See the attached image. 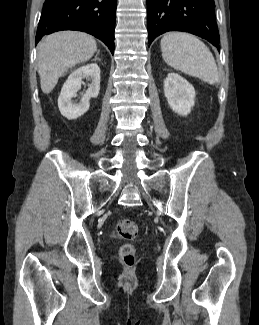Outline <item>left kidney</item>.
I'll return each mask as SVG.
<instances>
[{"label":"left kidney","instance_id":"1","mask_svg":"<svg viewBox=\"0 0 259 325\" xmlns=\"http://www.w3.org/2000/svg\"><path fill=\"white\" fill-rule=\"evenodd\" d=\"M164 95L171 109L181 115L190 113L195 103V90L183 77L169 73L164 81Z\"/></svg>","mask_w":259,"mask_h":325}]
</instances>
